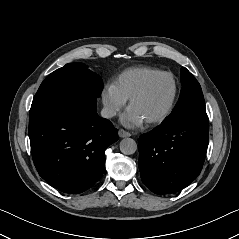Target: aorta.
<instances>
[{"mask_svg":"<svg viewBox=\"0 0 239 239\" xmlns=\"http://www.w3.org/2000/svg\"><path fill=\"white\" fill-rule=\"evenodd\" d=\"M137 148V143L132 138H124L120 142V151L125 155L134 154Z\"/></svg>","mask_w":239,"mask_h":239,"instance_id":"762f6f07","label":"aorta"}]
</instances>
